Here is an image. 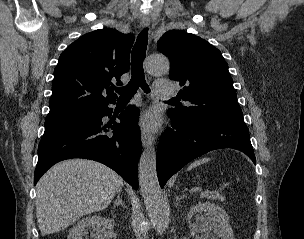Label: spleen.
<instances>
[{"instance_id":"1","label":"spleen","mask_w":304,"mask_h":239,"mask_svg":"<svg viewBox=\"0 0 304 239\" xmlns=\"http://www.w3.org/2000/svg\"><path fill=\"white\" fill-rule=\"evenodd\" d=\"M208 161H209V158H202V159L196 160L188 166L187 170H191V169H193V168H195V167H197L201 164H204Z\"/></svg>"}]
</instances>
